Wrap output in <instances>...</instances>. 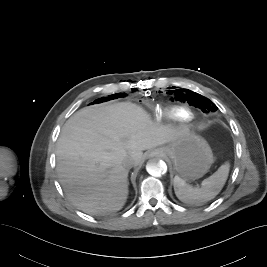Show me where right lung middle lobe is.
Here are the masks:
<instances>
[{"label": "right lung middle lobe", "instance_id": "obj_1", "mask_svg": "<svg viewBox=\"0 0 267 267\" xmlns=\"http://www.w3.org/2000/svg\"><path fill=\"white\" fill-rule=\"evenodd\" d=\"M123 96H124V94H118V95H116L114 97H103L101 99H97L95 102L96 103H99V102H103V101H107V100H110V99H114V98H118V97H123Z\"/></svg>", "mask_w": 267, "mask_h": 267}]
</instances>
